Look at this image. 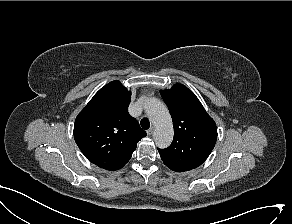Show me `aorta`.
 <instances>
[{"label":"aorta","mask_w":292,"mask_h":224,"mask_svg":"<svg viewBox=\"0 0 292 224\" xmlns=\"http://www.w3.org/2000/svg\"><path fill=\"white\" fill-rule=\"evenodd\" d=\"M145 111L155 126L153 139L159 148H167L174 135L171 115L165 104L155 97L145 101Z\"/></svg>","instance_id":"obj_1"}]
</instances>
